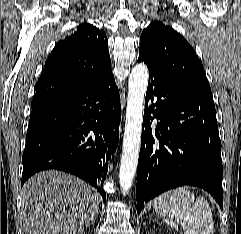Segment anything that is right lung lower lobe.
<instances>
[{"label":"right lung lower lobe","mask_w":241,"mask_h":234,"mask_svg":"<svg viewBox=\"0 0 241 234\" xmlns=\"http://www.w3.org/2000/svg\"><path fill=\"white\" fill-rule=\"evenodd\" d=\"M31 105L21 186L36 172L58 169L82 178L106 198L103 183L118 145L121 119L113 74Z\"/></svg>","instance_id":"right-lung-lower-lobe-1"}]
</instances>
